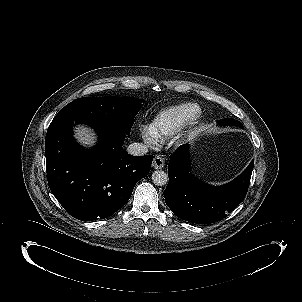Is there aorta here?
Segmentation results:
<instances>
[{
  "mask_svg": "<svg viewBox=\"0 0 302 302\" xmlns=\"http://www.w3.org/2000/svg\"><path fill=\"white\" fill-rule=\"evenodd\" d=\"M168 174L162 170H156L152 173V182L156 186H164L168 183Z\"/></svg>",
  "mask_w": 302,
  "mask_h": 302,
  "instance_id": "762f6f07",
  "label": "aorta"
}]
</instances>
